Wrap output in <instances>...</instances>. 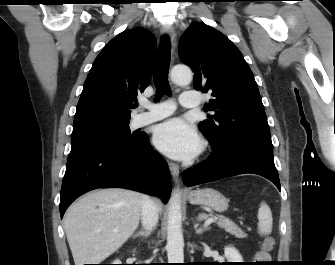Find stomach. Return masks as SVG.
Wrapping results in <instances>:
<instances>
[{"label": "stomach", "mask_w": 335, "mask_h": 265, "mask_svg": "<svg viewBox=\"0 0 335 265\" xmlns=\"http://www.w3.org/2000/svg\"><path fill=\"white\" fill-rule=\"evenodd\" d=\"M188 200L193 205H203L217 212H223L228 208L227 199L218 191L205 188L197 189L188 193Z\"/></svg>", "instance_id": "stomach-1"}]
</instances>
